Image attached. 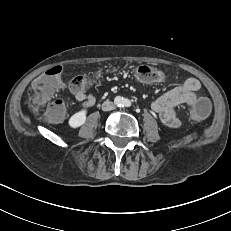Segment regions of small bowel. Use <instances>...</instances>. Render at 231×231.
<instances>
[{
	"label": "small bowel",
	"mask_w": 231,
	"mask_h": 231,
	"mask_svg": "<svg viewBox=\"0 0 231 231\" xmlns=\"http://www.w3.org/2000/svg\"><path fill=\"white\" fill-rule=\"evenodd\" d=\"M199 89V81L195 78H188L182 85L156 98L152 102V109L158 114L159 120L163 125L169 128H177L180 125V120L177 116L178 107H192L198 98L197 91ZM70 92L84 108H90L95 104L96 100L92 94L85 91H74L71 87Z\"/></svg>",
	"instance_id": "small-bowel-1"
}]
</instances>
